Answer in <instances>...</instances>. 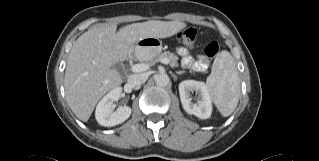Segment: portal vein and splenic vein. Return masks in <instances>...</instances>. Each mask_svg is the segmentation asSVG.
<instances>
[{"label": "portal vein and splenic vein", "instance_id": "obj_1", "mask_svg": "<svg viewBox=\"0 0 319 161\" xmlns=\"http://www.w3.org/2000/svg\"><path fill=\"white\" fill-rule=\"evenodd\" d=\"M161 63L163 64H169V60L167 58L161 59ZM149 69V65L145 63H140V64H135L132 66V71L133 72H143Z\"/></svg>", "mask_w": 319, "mask_h": 161}]
</instances>
